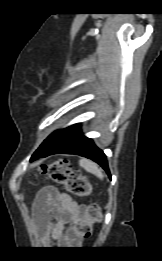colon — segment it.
Returning a JSON list of instances; mask_svg holds the SVG:
<instances>
[{
  "mask_svg": "<svg viewBox=\"0 0 162 261\" xmlns=\"http://www.w3.org/2000/svg\"><path fill=\"white\" fill-rule=\"evenodd\" d=\"M39 170L49 174L54 183L63 185L66 191L75 197H86L92 193V186L86 176L81 171L73 169L66 159H59L48 166H42ZM100 220L99 206L97 204L86 206L83 215L75 225L76 242L89 238L93 223Z\"/></svg>",
  "mask_w": 162,
  "mask_h": 261,
  "instance_id": "1",
  "label": "colon"
}]
</instances>
